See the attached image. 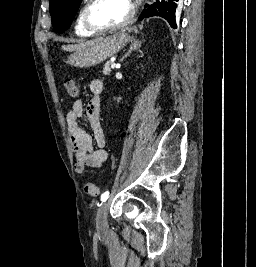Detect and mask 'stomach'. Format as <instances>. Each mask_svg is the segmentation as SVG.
Returning a JSON list of instances; mask_svg holds the SVG:
<instances>
[{"label":"stomach","instance_id":"1","mask_svg":"<svg viewBox=\"0 0 256 267\" xmlns=\"http://www.w3.org/2000/svg\"><path fill=\"white\" fill-rule=\"evenodd\" d=\"M131 40L130 34L127 32H115L105 38H99L97 44H90L86 46L81 52H75L69 56L68 64L72 66H79V68H90V66H97L107 58H112L118 54L125 44Z\"/></svg>","mask_w":256,"mask_h":267}]
</instances>
